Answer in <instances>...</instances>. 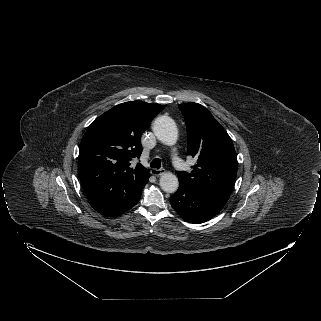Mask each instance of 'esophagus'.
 <instances>
[{
  "instance_id": "34e87169",
  "label": "esophagus",
  "mask_w": 321,
  "mask_h": 321,
  "mask_svg": "<svg viewBox=\"0 0 321 321\" xmlns=\"http://www.w3.org/2000/svg\"><path fill=\"white\" fill-rule=\"evenodd\" d=\"M165 169H152L151 174L154 176H161L165 173Z\"/></svg>"
}]
</instances>
